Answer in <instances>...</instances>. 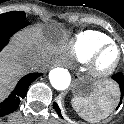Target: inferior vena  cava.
Here are the masks:
<instances>
[{"instance_id": "obj_1", "label": "inferior vena cava", "mask_w": 124, "mask_h": 124, "mask_svg": "<svg viewBox=\"0 0 124 124\" xmlns=\"http://www.w3.org/2000/svg\"><path fill=\"white\" fill-rule=\"evenodd\" d=\"M41 60L38 56H33L30 59V67L34 68V69H39L40 68V64H41Z\"/></svg>"}]
</instances>
